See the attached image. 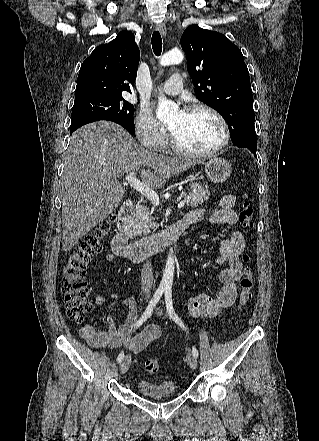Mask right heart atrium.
<instances>
[{
  "label": "right heart atrium",
  "instance_id": "obj_1",
  "mask_svg": "<svg viewBox=\"0 0 319 441\" xmlns=\"http://www.w3.org/2000/svg\"><path fill=\"white\" fill-rule=\"evenodd\" d=\"M135 131L138 141L145 149L159 151L168 143L166 128L147 108H142L137 114Z\"/></svg>",
  "mask_w": 319,
  "mask_h": 441
}]
</instances>
